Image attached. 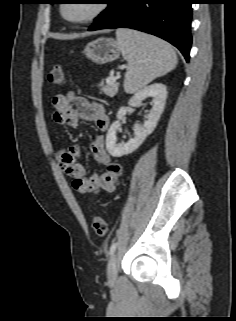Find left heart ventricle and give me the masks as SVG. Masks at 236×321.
<instances>
[{"label":"left heart ventricle","instance_id":"obj_1","mask_svg":"<svg viewBox=\"0 0 236 321\" xmlns=\"http://www.w3.org/2000/svg\"><path fill=\"white\" fill-rule=\"evenodd\" d=\"M94 7V2L90 0L73 1L65 9V14L69 18H80L88 15Z\"/></svg>","mask_w":236,"mask_h":321}]
</instances>
